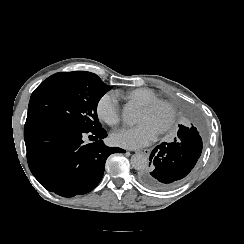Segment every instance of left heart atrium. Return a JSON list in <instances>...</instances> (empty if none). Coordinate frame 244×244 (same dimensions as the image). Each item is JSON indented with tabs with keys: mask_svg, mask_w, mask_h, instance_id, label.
Masks as SVG:
<instances>
[{
	"mask_svg": "<svg viewBox=\"0 0 244 244\" xmlns=\"http://www.w3.org/2000/svg\"><path fill=\"white\" fill-rule=\"evenodd\" d=\"M157 134L154 128L143 123L131 129L115 132L111 139L114 145L136 149L152 144L157 139Z\"/></svg>",
	"mask_w": 244,
	"mask_h": 244,
	"instance_id": "39dd6f15",
	"label": "left heart atrium"
}]
</instances>
